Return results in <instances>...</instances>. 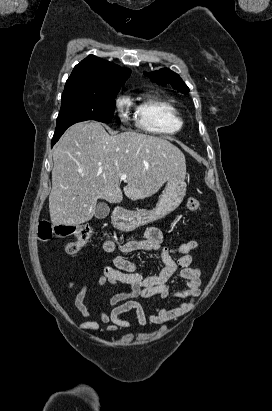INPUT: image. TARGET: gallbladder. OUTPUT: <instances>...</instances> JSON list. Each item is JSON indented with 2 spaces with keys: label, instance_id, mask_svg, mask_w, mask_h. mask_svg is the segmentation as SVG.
I'll list each match as a JSON object with an SVG mask.
<instances>
[{
  "label": "gallbladder",
  "instance_id": "obj_1",
  "mask_svg": "<svg viewBox=\"0 0 272 411\" xmlns=\"http://www.w3.org/2000/svg\"><path fill=\"white\" fill-rule=\"evenodd\" d=\"M109 212H110V208L108 204L105 202H100L96 206L95 217L97 219H104L108 216Z\"/></svg>",
  "mask_w": 272,
  "mask_h": 411
}]
</instances>
